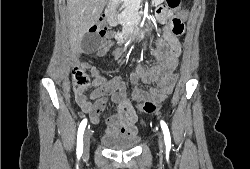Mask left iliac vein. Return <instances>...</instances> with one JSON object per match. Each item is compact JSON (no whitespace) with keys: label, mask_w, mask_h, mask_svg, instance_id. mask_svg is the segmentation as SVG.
<instances>
[{"label":"left iliac vein","mask_w":250,"mask_h":169,"mask_svg":"<svg viewBox=\"0 0 250 169\" xmlns=\"http://www.w3.org/2000/svg\"><path fill=\"white\" fill-rule=\"evenodd\" d=\"M158 140H159V148H160V149H163V147H164V142H163V139H162V135H161V134H158Z\"/></svg>","instance_id":"obj_1"}]
</instances>
